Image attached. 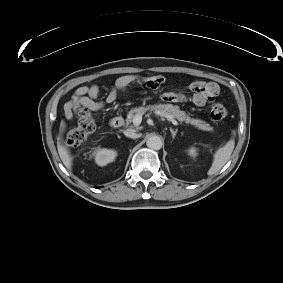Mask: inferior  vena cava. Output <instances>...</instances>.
<instances>
[{
  "instance_id": "obj_1",
  "label": "inferior vena cava",
  "mask_w": 283,
  "mask_h": 283,
  "mask_svg": "<svg viewBox=\"0 0 283 283\" xmlns=\"http://www.w3.org/2000/svg\"><path fill=\"white\" fill-rule=\"evenodd\" d=\"M125 136L132 138V139H136L139 138L141 136V134L136 133L133 130H126L124 131Z\"/></svg>"
}]
</instances>
